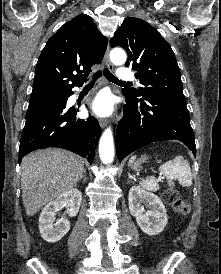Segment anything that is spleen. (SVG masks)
<instances>
[{"instance_id":"1","label":"spleen","mask_w":221,"mask_h":274,"mask_svg":"<svg viewBox=\"0 0 221 274\" xmlns=\"http://www.w3.org/2000/svg\"><path fill=\"white\" fill-rule=\"evenodd\" d=\"M136 156L129 160V165L135 161ZM160 173L168 179V185L172 186L174 183L172 179H177L179 184L183 187H190L192 185V173L188 161L182 156L178 155L173 160L167 161L159 167ZM139 184L146 190L156 192L159 190L158 182L153 177H148L142 180Z\"/></svg>"}]
</instances>
